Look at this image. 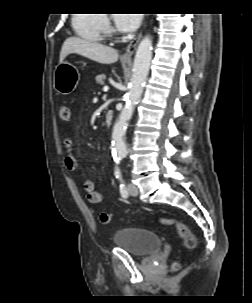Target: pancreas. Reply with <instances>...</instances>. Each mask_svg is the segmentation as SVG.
Returning a JSON list of instances; mask_svg holds the SVG:
<instances>
[{"instance_id": "pancreas-1", "label": "pancreas", "mask_w": 252, "mask_h": 303, "mask_svg": "<svg viewBox=\"0 0 252 303\" xmlns=\"http://www.w3.org/2000/svg\"><path fill=\"white\" fill-rule=\"evenodd\" d=\"M105 80H106V75L105 74H100V75H97L95 77L96 83H98L100 85L104 84Z\"/></svg>"}]
</instances>
